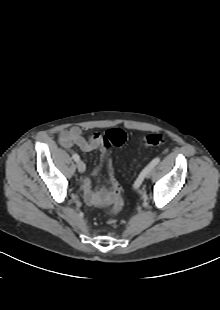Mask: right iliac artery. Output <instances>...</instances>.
Wrapping results in <instances>:
<instances>
[{
	"instance_id": "obj_1",
	"label": "right iliac artery",
	"mask_w": 220,
	"mask_h": 310,
	"mask_svg": "<svg viewBox=\"0 0 220 310\" xmlns=\"http://www.w3.org/2000/svg\"><path fill=\"white\" fill-rule=\"evenodd\" d=\"M72 158H73L76 162H78V161L80 160V157H79L78 154H73Z\"/></svg>"
}]
</instances>
